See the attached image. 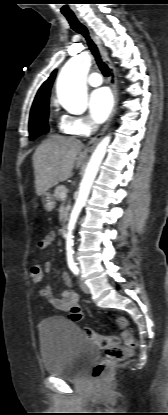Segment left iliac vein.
<instances>
[{"mask_svg": "<svg viewBox=\"0 0 168 415\" xmlns=\"http://www.w3.org/2000/svg\"><path fill=\"white\" fill-rule=\"evenodd\" d=\"M79 286L84 293L88 294L90 292L88 285L82 279H79Z\"/></svg>", "mask_w": 168, "mask_h": 415, "instance_id": "4c4485c4", "label": "left iliac vein"}]
</instances>
